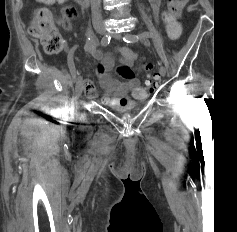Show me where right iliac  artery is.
<instances>
[{"instance_id": "right-iliac-artery-1", "label": "right iliac artery", "mask_w": 237, "mask_h": 232, "mask_svg": "<svg viewBox=\"0 0 237 232\" xmlns=\"http://www.w3.org/2000/svg\"><path fill=\"white\" fill-rule=\"evenodd\" d=\"M110 39L111 37L109 34L104 35L101 39V46H107L110 42ZM77 47H78L77 45L73 46L68 52V56H67L68 67L74 79L76 78L78 74V72H76L74 61H73V55Z\"/></svg>"}]
</instances>
